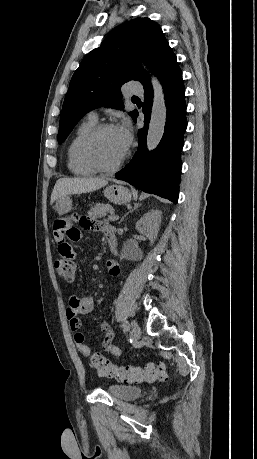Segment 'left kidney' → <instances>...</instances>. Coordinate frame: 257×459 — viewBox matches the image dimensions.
I'll return each instance as SVG.
<instances>
[{"instance_id": "5707ae66", "label": "left kidney", "mask_w": 257, "mask_h": 459, "mask_svg": "<svg viewBox=\"0 0 257 459\" xmlns=\"http://www.w3.org/2000/svg\"><path fill=\"white\" fill-rule=\"evenodd\" d=\"M162 212L160 210H151L145 213L136 223V229L139 233L145 235L151 242L158 236L161 223Z\"/></svg>"}]
</instances>
